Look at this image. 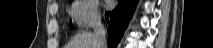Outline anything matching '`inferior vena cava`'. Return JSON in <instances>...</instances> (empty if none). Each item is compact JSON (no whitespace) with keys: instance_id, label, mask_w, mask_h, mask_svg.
<instances>
[{"instance_id":"602c4592","label":"inferior vena cava","mask_w":213,"mask_h":48,"mask_svg":"<svg viewBox=\"0 0 213 48\" xmlns=\"http://www.w3.org/2000/svg\"><path fill=\"white\" fill-rule=\"evenodd\" d=\"M94 38L97 43V48H106L105 28L101 22V17L97 15L94 20Z\"/></svg>"}]
</instances>
